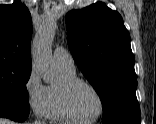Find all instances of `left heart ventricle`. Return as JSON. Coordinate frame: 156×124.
<instances>
[{
  "instance_id": "left-heart-ventricle-1",
  "label": "left heart ventricle",
  "mask_w": 156,
  "mask_h": 124,
  "mask_svg": "<svg viewBox=\"0 0 156 124\" xmlns=\"http://www.w3.org/2000/svg\"><path fill=\"white\" fill-rule=\"evenodd\" d=\"M70 103L74 112L82 119H91L99 111L97 96L84 85H78L71 91Z\"/></svg>"
}]
</instances>
